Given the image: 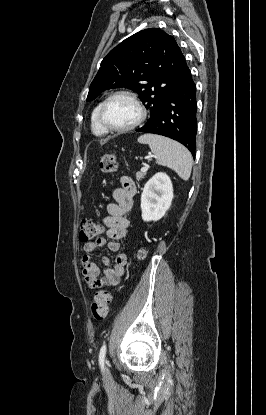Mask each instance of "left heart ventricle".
<instances>
[{"instance_id":"1","label":"left heart ventricle","mask_w":266,"mask_h":415,"mask_svg":"<svg viewBox=\"0 0 266 415\" xmlns=\"http://www.w3.org/2000/svg\"><path fill=\"white\" fill-rule=\"evenodd\" d=\"M139 115L136 105L127 97L112 99L105 110V119L113 127H125L132 124Z\"/></svg>"}]
</instances>
